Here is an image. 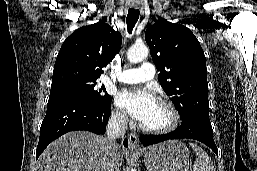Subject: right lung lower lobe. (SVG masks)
Masks as SVG:
<instances>
[{
    "mask_svg": "<svg viewBox=\"0 0 257 171\" xmlns=\"http://www.w3.org/2000/svg\"><path fill=\"white\" fill-rule=\"evenodd\" d=\"M111 101L98 105L80 97L49 99L47 112L40 128L36 159L53 140L69 131L86 130L103 134L110 116ZM124 146L128 142L124 140Z\"/></svg>",
    "mask_w": 257,
    "mask_h": 171,
    "instance_id": "obj_1",
    "label": "right lung lower lobe"
}]
</instances>
